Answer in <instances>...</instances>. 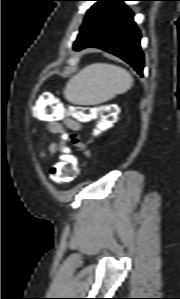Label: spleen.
<instances>
[{
    "instance_id": "spleen-1",
    "label": "spleen",
    "mask_w": 180,
    "mask_h": 299,
    "mask_svg": "<svg viewBox=\"0 0 180 299\" xmlns=\"http://www.w3.org/2000/svg\"><path fill=\"white\" fill-rule=\"evenodd\" d=\"M132 83L133 78L126 69L107 63H94L68 81L64 96L73 104L97 105L126 92Z\"/></svg>"
}]
</instances>
